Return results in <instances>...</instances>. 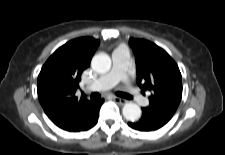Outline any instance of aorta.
I'll return each instance as SVG.
<instances>
[{"mask_svg":"<svg viewBox=\"0 0 225 155\" xmlns=\"http://www.w3.org/2000/svg\"><path fill=\"white\" fill-rule=\"evenodd\" d=\"M92 69L100 74L106 73L111 68V59L106 54H96L91 61ZM123 116L128 121H136L141 117V108L135 103H126L122 108Z\"/></svg>","mask_w":225,"mask_h":155,"instance_id":"aorta-1","label":"aorta"}]
</instances>
